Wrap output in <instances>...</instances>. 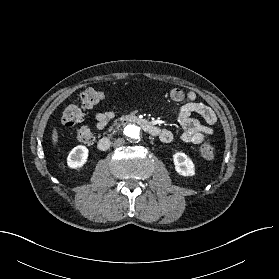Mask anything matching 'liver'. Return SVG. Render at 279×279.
Segmentation results:
<instances>
[{
	"mask_svg": "<svg viewBox=\"0 0 279 279\" xmlns=\"http://www.w3.org/2000/svg\"><path fill=\"white\" fill-rule=\"evenodd\" d=\"M52 142H53V145L55 146L58 142V133H57V130L56 128L53 129L52 131Z\"/></svg>",
	"mask_w": 279,
	"mask_h": 279,
	"instance_id": "obj_1",
	"label": "liver"
}]
</instances>
